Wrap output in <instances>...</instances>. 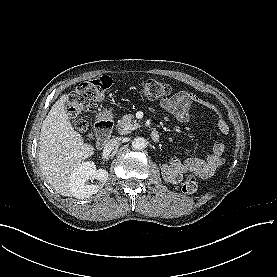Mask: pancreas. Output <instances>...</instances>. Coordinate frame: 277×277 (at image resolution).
I'll list each match as a JSON object with an SVG mask.
<instances>
[{"label":"pancreas","mask_w":277,"mask_h":277,"mask_svg":"<svg viewBox=\"0 0 277 277\" xmlns=\"http://www.w3.org/2000/svg\"><path fill=\"white\" fill-rule=\"evenodd\" d=\"M118 132L121 134H127L139 127L138 122L135 120L132 114H125L116 125Z\"/></svg>","instance_id":"pancreas-1"}]
</instances>
